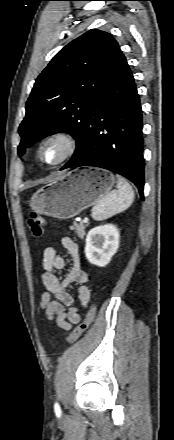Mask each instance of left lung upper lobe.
Wrapping results in <instances>:
<instances>
[{
    "mask_svg": "<svg viewBox=\"0 0 174 440\" xmlns=\"http://www.w3.org/2000/svg\"><path fill=\"white\" fill-rule=\"evenodd\" d=\"M122 55L112 35L96 29L59 51L36 79L26 103L18 154L47 135L67 132L76 139V157L84 144L92 104Z\"/></svg>",
    "mask_w": 174,
    "mask_h": 440,
    "instance_id": "1",
    "label": "left lung upper lobe"
}]
</instances>
